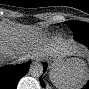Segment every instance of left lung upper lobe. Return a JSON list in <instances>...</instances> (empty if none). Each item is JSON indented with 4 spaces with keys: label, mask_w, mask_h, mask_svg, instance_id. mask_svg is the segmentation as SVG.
I'll return each mask as SVG.
<instances>
[{
    "label": "left lung upper lobe",
    "mask_w": 89,
    "mask_h": 89,
    "mask_svg": "<svg viewBox=\"0 0 89 89\" xmlns=\"http://www.w3.org/2000/svg\"><path fill=\"white\" fill-rule=\"evenodd\" d=\"M66 24L71 28V30L76 32L86 31L89 32V24L80 21H67Z\"/></svg>",
    "instance_id": "left-lung-upper-lobe-1"
}]
</instances>
